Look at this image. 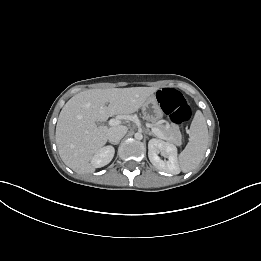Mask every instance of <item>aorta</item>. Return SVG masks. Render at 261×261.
<instances>
[{"label":"aorta","mask_w":261,"mask_h":261,"mask_svg":"<svg viewBox=\"0 0 261 261\" xmlns=\"http://www.w3.org/2000/svg\"><path fill=\"white\" fill-rule=\"evenodd\" d=\"M134 137H135V139H137V140H141V139L143 138V135H142V133L137 132V133H135Z\"/></svg>","instance_id":"obj_1"}]
</instances>
